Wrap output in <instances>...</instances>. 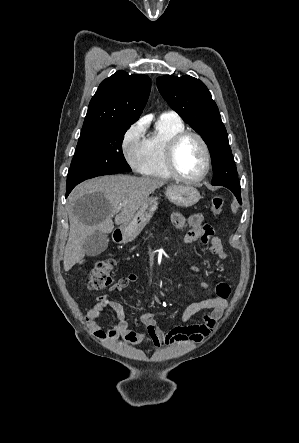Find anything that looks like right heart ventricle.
Returning a JSON list of instances; mask_svg holds the SVG:
<instances>
[{"instance_id": "right-heart-ventricle-1", "label": "right heart ventricle", "mask_w": 299, "mask_h": 443, "mask_svg": "<svg viewBox=\"0 0 299 443\" xmlns=\"http://www.w3.org/2000/svg\"><path fill=\"white\" fill-rule=\"evenodd\" d=\"M185 130L179 117L161 116L155 131L145 139L144 159L140 172L147 177L169 179L172 177L166 167L165 150L173 136Z\"/></svg>"}]
</instances>
